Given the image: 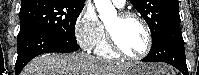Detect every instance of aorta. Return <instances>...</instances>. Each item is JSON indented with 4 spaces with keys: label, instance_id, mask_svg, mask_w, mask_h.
Here are the masks:
<instances>
[{
    "label": "aorta",
    "instance_id": "aorta-1",
    "mask_svg": "<svg viewBox=\"0 0 199 75\" xmlns=\"http://www.w3.org/2000/svg\"><path fill=\"white\" fill-rule=\"evenodd\" d=\"M94 3L103 22L116 18L117 11L112 5L111 0H94Z\"/></svg>",
    "mask_w": 199,
    "mask_h": 75
}]
</instances>
